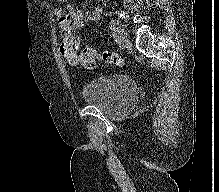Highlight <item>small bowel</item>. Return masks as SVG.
Here are the masks:
<instances>
[{"label":"small bowel","mask_w":219,"mask_h":192,"mask_svg":"<svg viewBox=\"0 0 219 192\" xmlns=\"http://www.w3.org/2000/svg\"><path fill=\"white\" fill-rule=\"evenodd\" d=\"M56 2L65 4L64 8H59L55 12L63 38H65L68 34H73L74 32L83 28L86 22H97L101 18L102 8L100 7L84 13L83 11L78 10L71 1L56 0ZM76 37L78 44H80V38L78 36Z\"/></svg>","instance_id":"c3829d8e"}]
</instances>
